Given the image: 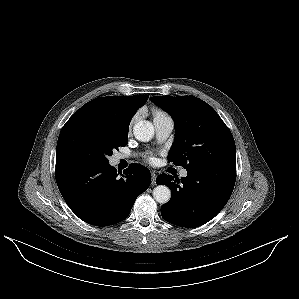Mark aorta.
Wrapping results in <instances>:
<instances>
[{
	"label": "aorta",
	"mask_w": 299,
	"mask_h": 299,
	"mask_svg": "<svg viewBox=\"0 0 299 299\" xmlns=\"http://www.w3.org/2000/svg\"><path fill=\"white\" fill-rule=\"evenodd\" d=\"M133 133L137 140L146 142L153 138L154 126L151 122L142 120L134 125ZM153 197L158 203L165 204L171 198V191L165 185H158L153 190Z\"/></svg>",
	"instance_id": "obj_1"
}]
</instances>
